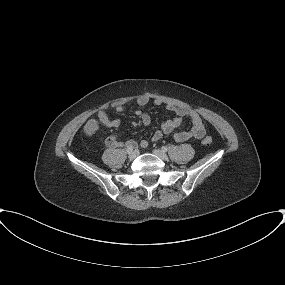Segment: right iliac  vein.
I'll return each mask as SVG.
<instances>
[{
  "mask_svg": "<svg viewBox=\"0 0 285 285\" xmlns=\"http://www.w3.org/2000/svg\"><path fill=\"white\" fill-rule=\"evenodd\" d=\"M138 155H139V151H138V150H134V151L128 153V158H129L130 160H133V159H135Z\"/></svg>",
  "mask_w": 285,
  "mask_h": 285,
  "instance_id": "obj_1",
  "label": "right iliac vein"
}]
</instances>
